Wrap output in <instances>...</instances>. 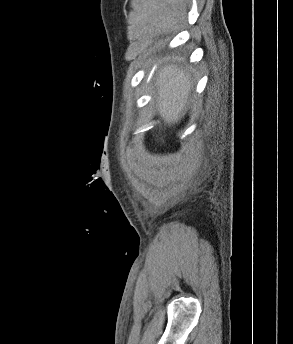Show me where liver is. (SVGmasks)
Listing matches in <instances>:
<instances>
[{
    "instance_id": "1",
    "label": "liver",
    "mask_w": 293,
    "mask_h": 344,
    "mask_svg": "<svg viewBox=\"0 0 293 344\" xmlns=\"http://www.w3.org/2000/svg\"><path fill=\"white\" fill-rule=\"evenodd\" d=\"M190 75L178 66H164L158 73L156 88L158 95V111L162 119L175 124L184 116L192 90Z\"/></svg>"
}]
</instances>
